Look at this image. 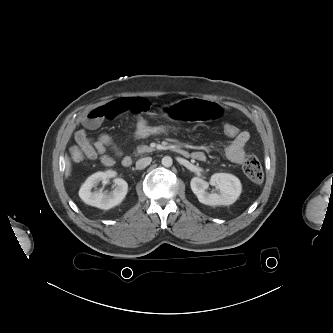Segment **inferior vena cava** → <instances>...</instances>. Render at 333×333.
<instances>
[{"label": "inferior vena cava", "mask_w": 333, "mask_h": 333, "mask_svg": "<svg viewBox=\"0 0 333 333\" xmlns=\"http://www.w3.org/2000/svg\"><path fill=\"white\" fill-rule=\"evenodd\" d=\"M151 161H152L151 157L141 158L136 162V168L142 170L145 167H147L151 163Z\"/></svg>", "instance_id": "inferior-vena-cava-1"}]
</instances>
